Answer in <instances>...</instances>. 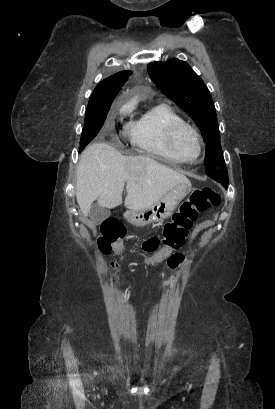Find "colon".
<instances>
[{
    "instance_id": "colon-1",
    "label": "colon",
    "mask_w": 275,
    "mask_h": 409,
    "mask_svg": "<svg viewBox=\"0 0 275 409\" xmlns=\"http://www.w3.org/2000/svg\"><path fill=\"white\" fill-rule=\"evenodd\" d=\"M221 198L210 187H203L193 191L188 198L183 200L177 212L168 221L162 234L152 236L142 243V249L151 253L150 261L164 262L166 257L177 248H181L187 239L188 232L192 227L197 215L210 214L211 207H219ZM125 229L123 225L114 219L106 220L101 228L97 244L103 252H120L123 249ZM112 269L118 268L117 262L111 263Z\"/></svg>"
}]
</instances>
